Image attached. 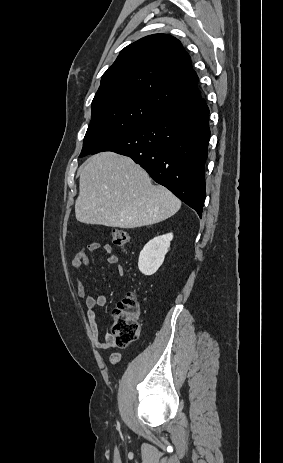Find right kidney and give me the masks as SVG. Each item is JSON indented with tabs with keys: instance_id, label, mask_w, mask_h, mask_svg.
I'll return each instance as SVG.
<instances>
[{
	"instance_id": "obj_1",
	"label": "right kidney",
	"mask_w": 283,
	"mask_h": 463,
	"mask_svg": "<svg viewBox=\"0 0 283 463\" xmlns=\"http://www.w3.org/2000/svg\"><path fill=\"white\" fill-rule=\"evenodd\" d=\"M173 234L168 233L150 240L140 252L138 268L146 276L153 275L162 265Z\"/></svg>"
}]
</instances>
